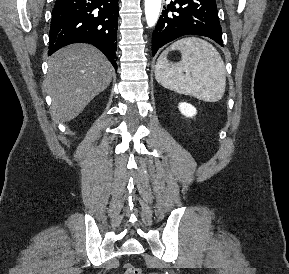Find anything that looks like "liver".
Here are the masks:
<instances>
[{"label": "liver", "mask_w": 289, "mask_h": 274, "mask_svg": "<svg viewBox=\"0 0 289 274\" xmlns=\"http://www.w3.org/2000/svg\"><path fill=\"white\" fill-rule=\"evenodd\" d=\"M113 67L95 47L72 44L59 49L49 60L45 81L57 121L76 118L112 80Z\"/></svg>", "instance_id": "6515ba94"}]
</instances>
